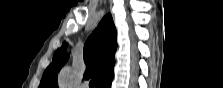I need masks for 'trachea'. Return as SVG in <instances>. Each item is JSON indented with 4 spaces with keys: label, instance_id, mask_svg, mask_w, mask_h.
Wrapping results in <instances>:
<instances>
[{
    "label": "trachea",
    "instance_id": "1",
    "mask_svg": "<svg viewBox=\"0 0 223 88\" xmlns=\"http://www.w3.org/2000/svg\"><path fill=\"white\" fill-rule=\"evenodd\" d=\"M94 86H95V80L93 79V80L90 81L89 87L94 88Z\"/></svg>",
    "mask_w": 223,
    "mask_h": 88
}]
</instances>
